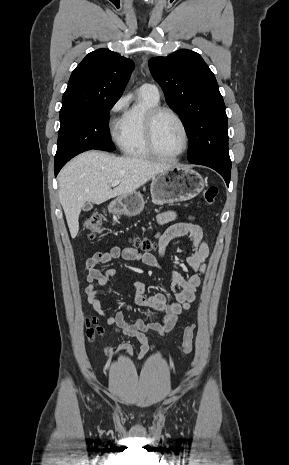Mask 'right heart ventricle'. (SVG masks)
<instances>
[{
    "label": "right heart ventricle",
    "instance_id": "right-heart-ventricle-1",
    "mask_svg": "<svg viewBox=\"0 0 289 465\" xmlns=\"http://www.w3.org/2000/svg\"><path fill=\"white\" fill-rule=\"evenodd\" d=\"M158 102L159 99L140 89L139 101L126 110L117 137V143L126 155L134 158L153 156L146 144L145 117L148 110L157 106Z\"/></svg>",
    "mask_w": 289,
    "mask_h": 465
}]
</instances>
